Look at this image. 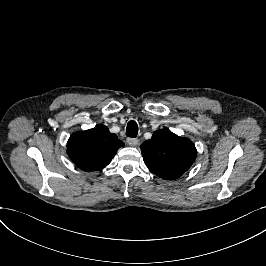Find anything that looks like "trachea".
<instances>
[{"mask_svg": "<svg viewBox=\"0 0 266 266\" xmlns=\"http://www.w3.org/2000/svg\"><path fill=\"white\" fill-rule=\"evenodd\" d=\"M138 134V125L134 120H131L127 124L126 128V136L128 137H136Z\"/></svg>", "mask_w": 266, "mask_h": 266, "instance_id": "1", "label": "trachea"}]
</instances>
